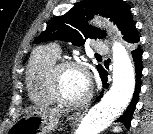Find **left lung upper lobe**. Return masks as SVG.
<instances>
[{
    "label": "left lung upper lobe",
    "instance_id": "obj_1",
    "mask_svg": "<svg viewBox=\"0 0 153 134\" xmlns=\"http://www.w3.org/2000/svg\"><path fill=\"white\" fill-rule=\"evenodd\" d=\"M94 14L110 18L118 26L127 42H139L129 5L122 0H83L75 4L66 14L54 17L34 43L64 40L81 46L87 38L102 39L105 37L104 31L87 25L88 19ZM96 68L99 73L103 70L101 65H97Z\"/></svg>",
    "mask_w": 153,
    "mask_h": 134
}]
</instances>
